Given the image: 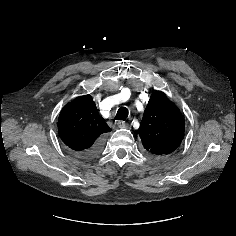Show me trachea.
I'll return each instance as SVG.
<instances>
[{
    "label": "trachea",
    "instance_id": "obj_1",
    "mask_svg": "<svg viewBox=\"0 0 236 236\" xmlns=\"http://www.w3.org/2000/svg\"><path fill=\"white\" fill-rule=\"evenodd\" d=\"M128 109L126 107H121L118 109L117 114H116V120H126L128 117Z\"/></svg>",
    "mask_w": 236,
    "mask_h": 236
}]
</instances>
